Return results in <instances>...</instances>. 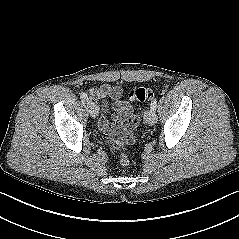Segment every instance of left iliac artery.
Wrapping results in <instances>:
<instances>
[{"mask_svg":"<svg viewBox=\"0 0 239 239\" xmlns=\"http://www.w3.org/2000/svg\"><path fill=\"white\" fill-rule=\"evenodd\" d=\"M156 106H157V99H154L150 104V108L153 110H156Z\"/></svg>","mask_w":239,"mask_h":239,"instance_id":"left-iliac-artery-1","label":"left iliac artery"}]
</instances>
